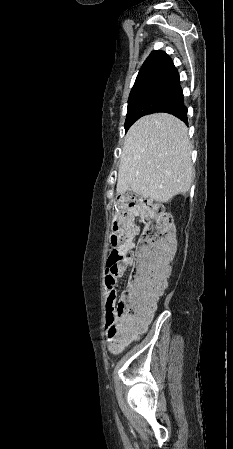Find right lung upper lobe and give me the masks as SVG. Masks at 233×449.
<instances>
[{
    "instance_id": "obj_1",
    "label": "right lung upper lobe",
    "mask_w": 233,
    "mask_h": 449,
    "mask_svg": "<svg viewBox=\"0 0 233 449\" xmlns=\"http://www.w3.org/2000/svg\"><path fill=\"white\" fill-rule=\"evenodd\" d=\"M158 88L182 90L171 58L159 50L153 51L143 63L130 95Z\"/></svg>"
}]
</instances>
